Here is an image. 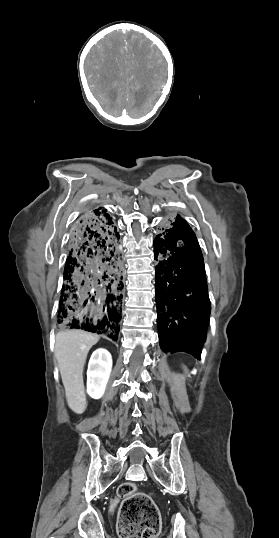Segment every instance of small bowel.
<instances>
[{
	"label": "small bowel",
	"mask_w": 279,
	"mask_h": 538,
	"mask_svg": "<svg viewBox=\"0 0 279 538\" xmlns=\"http://www.w3.org/2000/svg\"><path fill=\"white\" fill-rule=\"evenodd\" d=\"M117 504H118V500L116 498L111 500V502H110V510H111V512H113L116 509Z\"/></svg>",
	"instance_id": "c3829d8e"
}]
</instances>
